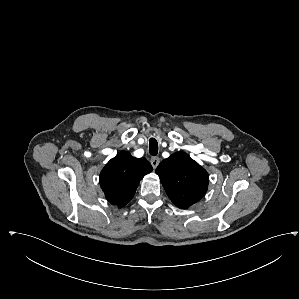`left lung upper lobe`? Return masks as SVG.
Returning a JSON list of instances; mask_svg holds the SVG:
<instances>
[{
    "label": "left lung upper lobe",
    "instance_id": "1",
    "mask_svg": "<svg viewBox=\"0 0 299 299\" xmlns=\"http://www.w3.org/2000/svg\"><path fill=\"white\" fill-rule=\"evenodd\" d=\"M156 173L168 197L181 209L199 201L207 191L208 173L185 153L176 152L164 159Z\"/></svg>",
    "mask_w": 299,
    "mask_h": 299
}]
</instances>
